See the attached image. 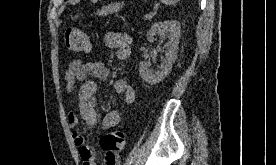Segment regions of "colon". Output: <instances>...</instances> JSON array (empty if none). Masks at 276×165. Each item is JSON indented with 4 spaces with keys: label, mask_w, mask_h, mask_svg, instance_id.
I'll return each instance as SVG.
<instances>
[{
    "label": "colon",
    "mask_w": 276,
    "mask_h": 165,
    "mask_svg": "<svg viewBox=\"0 0 276 165\" xmlns=\"http://www.w3.org/2000/svg\"><path fill=\"white\" fill-rule=\"evenodd\" d=\"M65 46L74 53L84 52L89 49V40L79 28L70 27L65 31ZM100 146L108 156L122 152L126 146V135L121 131L110 132L100 139Z\"/></svg>",
    "instance_id": "5ec220e1"
}]
</instances>
